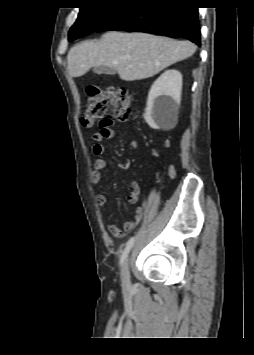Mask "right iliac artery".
<instances>
[{"mask_svg": "<svg viewBox=\"0 0 254 355\" xmlns=\"http://www.w3.org/2000/svg\"><path fill=\"white\" fill-rule=\"evenodd\" d=\"M134 237L130 238L127 243H126V247L125 249L123 250L122 252V255H121V258H120V265H122V263L125 261V259L127 258L132 246H133V243H134Z\"/></svg>", "mask_w": 254, "mask_h": 355, "instance_id": "obj_1", "label": "right iliac artery"}]
</instances>
